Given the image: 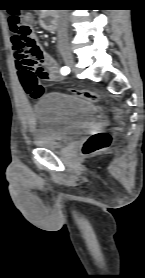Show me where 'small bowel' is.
Listing matches in <instances>:
<instances>
[{
    "instance_id": "obj_1",
    "label": "small bowel",
    "mask_w": 145,
    "mask_h": 278,
    "mask_svg": "<svg viewBox=\"0 0 145 278\" xmlns=\"http://www.w3.org/2000/svg\"><path fill=\"white\" fill-rule=\"evenodd\" d=\"M21 20L26 25H31L33 15L26 11L21 14ZM13 54L17 67L18 79L26 96L37 98L42 92L41 81L54 82L60 77V72L53 59L46 54L38 40L32 34L27 46L22 45V40L14 35L12 37ZM43 66V67H42ZM38 77V81L32 93L27 92V87L33 85L32 79ZM29 123L33 126L34 117H30Z\"/></svg>"
}]
</instances>
